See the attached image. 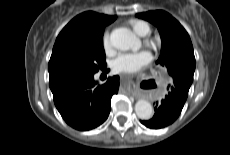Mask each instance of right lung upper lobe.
<instances>
[{"instance_id": "1", "label": "right lung upper lobe", "mask_w": 230, "mask_h": 155, "mask_svg": "<svg viewBox=\"0 0 230 155\" xmlns=\"http://www.w3.org/2000/svg\"><path fill=\"white\" fill-rule=\"evenodd\" d=\"M117 16L87 11L73 18L58 35L53 50L62 46L92 45L103 41L106 25L112 23Z\"/></svg>"}]
</instances>
